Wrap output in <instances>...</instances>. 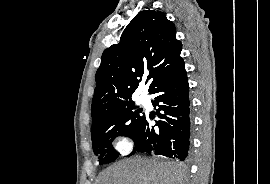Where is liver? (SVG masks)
Instances as JSON below:
<instances>
[{"label":"liver","mask_w":270,"mask_h":184,"mask_svg":"<svg viewBox=\"0 0 270 184\" xmlns=\"http://www.w3.org/2000/svg\"><path fill=\"white\" fill-rule=\"evenodd\" d=\"M181 164L158 159H127L108 167L98 184H185Z\"/></svg>","instance_id":"6515ba94"}]
</instances>
